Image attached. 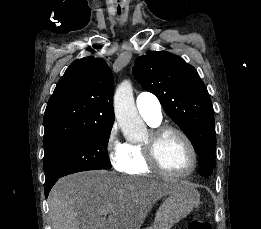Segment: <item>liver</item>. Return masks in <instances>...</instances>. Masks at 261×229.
<instances>
[{
	"label": "liver",
	"mask_w": 261,
	"mask_h": 229,
	"mask_svg": "<svg viewBox=\"0 0 261 229\" xmlns=\"http://www.w3.org/2000/svg\"><path fill=\"white\" fill-rule=\"evenodd\" d=\"M172 193L166 181L84 171L57 181L48 199L49 217L52 229H140L154 203Z\"/></svg>",
	"instance_id": "6515ba94"
}]
</instances>
